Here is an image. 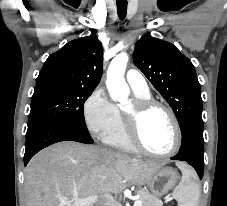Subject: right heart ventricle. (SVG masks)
Wrapping results in <instances>:
<instances>
[{"instance_id": "obj_1", "label": "right heart ventricle", "mask_w": 227, "mask_h": 206, "mask_svg": "<svg viewBox=\"0 0 227 206\" xmlns=\"http://www.w3.org/2000/svg\"><path fill=\"white\" fill-rule=\"evenodd\" d=\"M135 95H136V98H139V99L150 98L149 93H145V94L135 93ZM116 110H117V122L113 127V129L103 139L108 145L114 148H117L126 152H137V149L130 143V141L127 138L123 116L117 107H116Z\"/></svg>"}]
</instances>
